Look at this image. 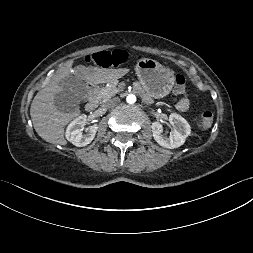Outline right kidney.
I'll list each match as a JSON object with an SVG mask.
<instances>
[{"instance_id": "right-kidney-1", "label": "right kidney", "mask_w": 253, "mask_h": 253, "mask_svg": "<svg viewBox=\"0 0 253 253\" xmlns=\"http://www.w3.org/2000/svg\"><path fill=\"white\" fill-rule=\"evenodd\" d=\"M87 124V116L81 115L75 118L66 129V138L77 147H84L92 142L98 129L94 124L89 127L88 132L83 134V129Z\"/></svg>"}]
</instances>
